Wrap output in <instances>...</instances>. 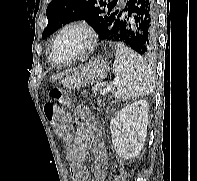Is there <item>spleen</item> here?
I'll use <instances>...</instances> for the list:
<instances>
[{
    "label": "spleen",
    "instance_id": "1",
    "mask_svg": "<svg viewBox=\"0 0 197 181\" xmlns=\"http://www.w3.org/2000/svg\"><path fill=\"white\" fill-rule=\"evenodd\" d=\"M113 94L117 99L139 98L153 91L154 74L142 57L124 43L115 45Z\"/></svg>",
    "mask_w": 197,
    "mask_h": 181
}]
</instances>
